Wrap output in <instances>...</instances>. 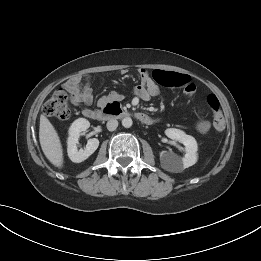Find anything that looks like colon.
<instances>
[{"mask_svg":"<svg viewBox=\"0 0 261 261\" xmlns=\"http://www.w3.org/2000/svg\"><path fill=\"white\" fill-rule=\"evenodd\" d=\"M69 98L70 95L67 89L59 88L44 104V113L48 116L55 117L59 120L68 119L71 116ZM206 102L213 112V127L217 131L224 130L225 119L220 109L219 100L215 95L210 94L206 97Z\"/></svg>","mask_w":261,"mask_h":261,"instance_id":"obj_1","label":"colon"}]
</instances>
